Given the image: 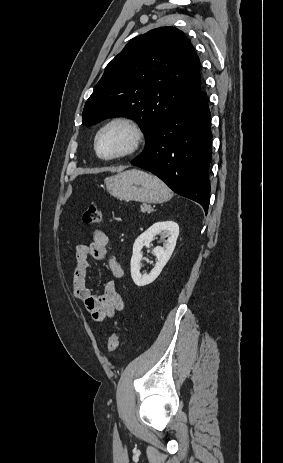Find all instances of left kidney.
Returning a JSON list of instances; mask_svg holds the SVG:
<instances>
[{
	"label": "left kidney",
	"instance_id": "5707ae66",
	"mask_svg": "<svg viewBox=\"0 0 283 463\" xmlns=\"http://www.w3.org/2000/svg\"><path fill=\"white\" fill-rule=\"evenodd\" d=\"M156 235H160L163 239L167 238V240H164L163 247L158 246L153 249L157 262L149 274L142 275L140 273V262L142 259L141 250L144 246L150 247V243ZM178 235L179 226L176 222L163 221L150 226L135 240L131 258V277L137 286L142 287L148 285L159 276L174 251Z\"/></svg>",
	"mask_w": 283,
	"mask_h": 463
}]
</instances>
